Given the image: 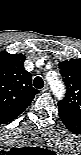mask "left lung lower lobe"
<instances>
[{"instance_id": "0a47b994", "label": "left lung lower lobe", "mask_w": 81, "mask_h": 155, "mask_svg": "<svg viewBox=\"0 0 81 155\" xmlns=\"http://www.w3.org/2000/svg\"><path fill=\"white\" fill-rule=\"evenodd\" d=\"M59 116L64 125L73 133L81 132V120L73 119L63 113H59Z\"/></svg>"}]
</instances>
